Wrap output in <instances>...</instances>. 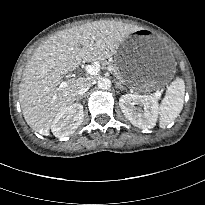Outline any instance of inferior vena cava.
Segmentation results:
<instances>
[{"instance_id":"inferior-vena-cava-1","label":"inferior vena cava","mask_w":205,"mask_h":205,"mask_svg":"<svg viewBox=\"0 0 205 205\" xmlns=\"http://www.w3.org/2000/svg\"><path fill=\"white\" fill-rule=\"evenodd\" d=\"M91 86H92V80L84 79L78 88V95L80 96L84 95L90 89Z\"/></svg>"}]
</instances>
